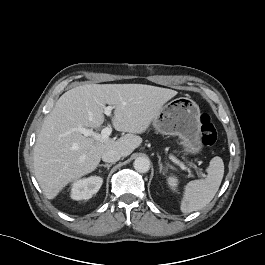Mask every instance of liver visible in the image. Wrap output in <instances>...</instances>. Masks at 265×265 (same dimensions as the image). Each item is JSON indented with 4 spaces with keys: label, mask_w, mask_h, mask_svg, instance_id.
<instances>
[{
    "label": "liver",
    "mask_w": 265,
    "mask_h": 265,
    "mask_svg": "<svg viewBox=\"0 0 265 265\" xmlns=\"http://www.w3.org/2000/svg\"><path fill=\"white\" fill-rule=\"evenodd\" d=\"M175 95V90L144 84H87L65 92L45 117L34 146L35 177L45 196L55 198L68 183L94 171L105 151L129 156L142 143L137 134ZM106 104L115 109V130L127 134L101 141L77 130L100 128Z\"/></svg>",
    "instance_id": "liver-1"
}]
</instances>
